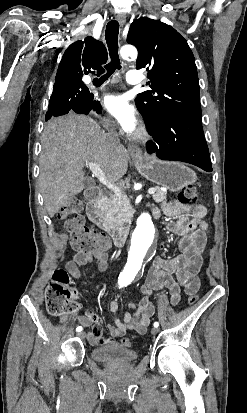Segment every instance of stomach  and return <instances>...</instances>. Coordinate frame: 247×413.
Wrapping results in <instances>:
<instances>
[{"label": "stomach", "mask_w": 247, "mask_h": 413, "mask_svg": "<svg viewBox=\"0 0 247 413\" xmlns=\"http://www.w3.org/2000/svg\"><path fill=\"white\" fill-rule=\"evenodd\" d=\"M132 160L145 178L156 182V184H161L173 192L182 190L189 184H195L197 180V174L192 168L185 166L182 162H176V160H158L155 156L146 158L143 154L142 156H132Z\"/></svg>", "instance_id": "0dacf381"}]
</instances>
